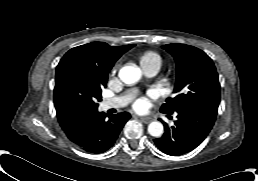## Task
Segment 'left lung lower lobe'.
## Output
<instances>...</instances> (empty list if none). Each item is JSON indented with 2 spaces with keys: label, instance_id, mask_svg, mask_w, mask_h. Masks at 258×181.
I'll return each mask as SVG.
<instances>
[{
  "label": "left lung lower lobe",
  "instance_id": "left-lung-lower-lobe-1",
  "mask_svg": "<svg viewBox=\"0 0 258 181\" xmlns=\"http://www.w3.org/2000/svg\"><path fill=\"white\" fill-rule=\"evenodd\" d=\"M218 108L194 107L177 112L175 125L165 122V133L154 139L159 150L171 156H179L195 149L208 135L214 125Z\"/></svg>",
  "mask_w": 258,
  "mask_h": 181
}]
</instances>
